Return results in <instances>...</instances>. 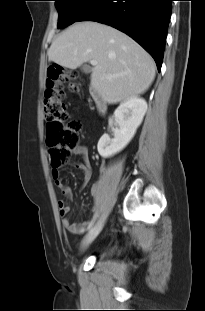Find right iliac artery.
I'll use <instances>...</instances> for the list:
<instances>
[{
  "label": "right iliac artery",
  "instance_id": "82829eb1",
  "mask_svg": "<svg viewBox=\"0 0 205 311\" xmlns=\"http://www.w3.org/2000/svg\"><path fill=\"white\" fill-rule=\"evenodd\" d=\"M95 220H96V217H94V218L91 220V222H90V225H89L88 229H91V228H92V226H93V224H94Z\"/></svg>",
  "mask_w": 205,
  "mask_h": 311
}]
</instances>
